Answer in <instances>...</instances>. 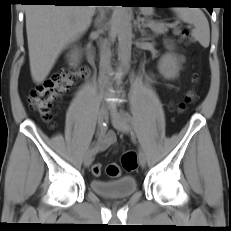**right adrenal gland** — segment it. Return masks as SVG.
<instances>
[{"label":"right adrenal gland","instance_id":"2a0ac1e0","mask_svg":"<svg viewBox=\"0 0 231 231\" xmlns=\"http://www.w3.org/2000/svg\"><path fill=\"white\" fill-rule=\"evenodd\" d=\"M100 22V19H96L95 22H94V26H97V24Z\"/></svg>","mask_w":231,"mask_h":231}]
</instances>
